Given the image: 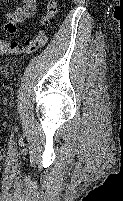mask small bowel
Segmentation results:
<instances>
[{"mask_svg":"<svg viewBox=\"0 0 123 201\" xmlns=\"http://www.w3.org/2000/svg\"><path fill=\"white\" fill-rule=\"evenodd\" d=\"M37 9L36 0H20L17 7L6 14L4 30L9 34L18 31V25L31 18Z\"/></svg>","mask_w":123,"mask_h":201,"instance_id":"1","label":"small bowel"}]
</instances>
